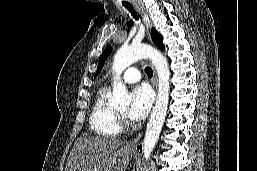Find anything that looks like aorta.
I'll use <instances>...</instances> for the list:
<instances>
[{"label":"aorta","mask_w":257,"mask_h":171,"mask_svg":"<svg viewBox=\"0 0 257 171\" xmlns=\"http://www.w3.org/2000/svg\"><path fill=\"white\" fill-rule=\"evenodd\" d=\"M149 58L158 75V93L143 141V156L148 160L159 138L168 107L170 91V71L167 59L155 48L146 44L121 47L114 56L113 71L116 81L110 103L113 106H126L130 103L125 85L120 81V74L134 62Z\"/></svg>","instance_id":"1"}]
</instances>
